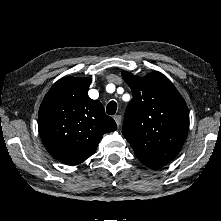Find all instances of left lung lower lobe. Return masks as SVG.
<instances>
[{"instance_id": "1", "label": "left lung lower lobe", "mask_w": 221, "mask_h": 221, "mask_svg": "<svg viewBox=\"0 0 221 221\" xmlns=\"http://www.w3.org/2000/svg\"><path fill=\"white\" fill-rule=\"evenodd\" d=\"M136 157H137L144 165H146L147 167L152 168V169H158V168H161V167H163L164 165H166L165 163L153 161V160H150V159L145 158V157L140 156V155H136Z\"/></svg>"}]
</instances>
